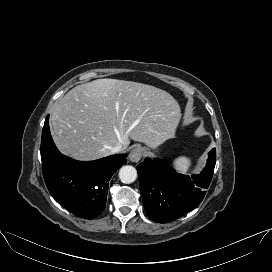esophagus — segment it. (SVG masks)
Listing matches in <instances>:
<instances>
[{"label":"esophagus","instance_id":"obj_1","mask_svg":"<svg viewBox=\"0 0 272 272\" xmlns=\"http://www.w3.org/2000/svg\"><path fill=\"white\" fill-rule=\"evenodd\" d=\"M142 148L139 146L134 147L129 154V160L133 163H137L142 158Z\"/></svg>","mask_w":272,"mask_h":272}]
</instances>
